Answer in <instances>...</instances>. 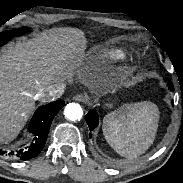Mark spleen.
Wrapping results in <instances>:
<instances>
[{
  "mask_svg": "<svg viewBox=\"0 0 183 183\" xmlns=\"http://www.w3.org/2000/svg\"><path fill=\"white\" fill-rule=\"evenodd\" d=\"M158 118V108L151 102L127 105L123 113L112 112L104 118L103 134L118 154L134 158L153 143Z\"/></svg>",
  "mask_w": 183,
  "mask_h": 183,
  "instance_id": "3e777b00",
  "label": "spleen"
}]
</instances>
